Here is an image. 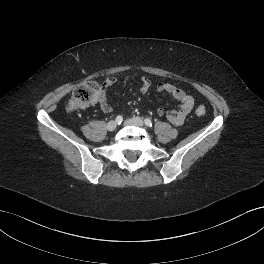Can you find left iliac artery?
Here are the masks:
<instances>
[{
  "label": "left iliac artery",
  "mask_w": 264,
  "mask_h": 264,
  "mask_svg": "<svg viewBox=\"0 0 264 264\" xmlns=\"http://www.w3.org/2000/svg\"><path fill=\"white\" fill-rule=\"evenodd\" d=\"M144 122H145V125H146L147 127H152V122H151L150 119L146 118V119L144 120Z\"/></svg>",
  "instance_id": "left-iliac-artery-1"
}]
</instances>
